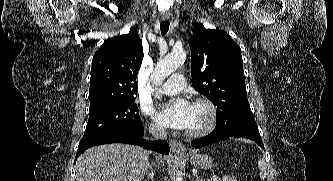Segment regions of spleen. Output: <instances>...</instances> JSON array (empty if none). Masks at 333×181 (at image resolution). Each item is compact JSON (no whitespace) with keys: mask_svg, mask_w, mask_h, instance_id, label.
<instances>
[{"mask_svg":"<svg viewBox=\"0 0 333 181\" xmlns=\"http://www.w3.org/2000/svg\"><path fill=\"white\" fill-rule=\"evenodd\" d=\"M258 168L260 170V173H259V177L264 180L267 176V172H266V169H267V165H266V162L260 158L258 160Z\"/></svg>","mask_w":333,"mask_h":181,"instance_id":"3e777b00","label":"spleen"}]
</instances>
